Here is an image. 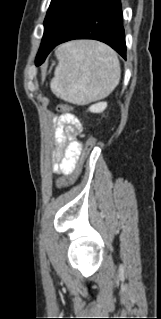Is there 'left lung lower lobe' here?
Segmentation results:
<instances>
[{"mask_svg": "<svg viewBox=\"0 0 161 319\" xmlns=\"http://www.w3.org/2000/svg\"><path fill=\"white\" fill-rule=\"evenodd\" d=\"M74 39L99 40L126 59L120 0H100L60 40L47 49L44 57L46 58L57 45Z\"/></svg>", "mask_w": 161, "mask_h": 319, "instance_id": "obj_1", "label": "left lung lower lobe"}]
</instances>
